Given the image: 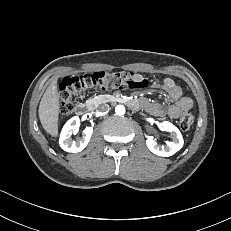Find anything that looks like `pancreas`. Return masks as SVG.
Listing matches in <instances>:
<instances>
[{
    "label": "pancreas",
    "mask_w": 231,
    "mask_h": 231,
    "mask_svg": "<svg viewBox=\"0 0 231 231\" xmlns=\"http://www.w3.org/2000/svg\"><path fill=\"white\" fill-rule=\"evenodd\" d=\"M112 99H113V96L111 95H102L97 98V102L102 103V102L111 101Z\"/></svg>",
    "instance_id": "1"
}]
</instances>
